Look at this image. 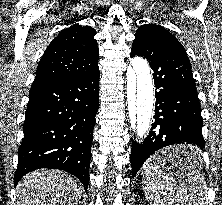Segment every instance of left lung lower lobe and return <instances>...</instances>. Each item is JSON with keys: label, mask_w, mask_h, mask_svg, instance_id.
<instances>
[{"label": "left lung lower lobe", "mask_w": 222, "mask_h": 205, "mask_svg": "<svg viewBox=\"0 0 222 205\" xmlns=\"http://www.w3.org/2000/svg\"><path fill=\"white\" fill-rule=\"evenodd\" d=\"M143 56L153 69L155 122L142 144L132 143V177L156 150L172 144H192L194 151L170 157V165H190L200 160L202 136L201 107L191 65L182 45L170 41H150L135 37L131 57Z\"/></svg>", "instance_id": "left-lung-lower-lobe-1"}]
</instances>
